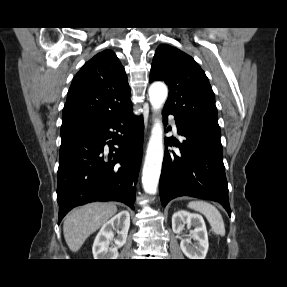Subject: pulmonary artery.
I'll list each match as a JSON object with an SVG mask.
<instances>
[{"instance_id": "e3ab8cb5", "label": "pulmonary artery", "mask_w": 287, "mask_h": 287, "mask_svg": "<svg viewBox=\"0 0 287 287\" xmlns=\"http://www.w3.org/2000/svg\"><path fill=\"white\" fill-rule=\"evenodd\" d=\"M173 128L176 130V125H175V123L173 122Z\"/></svg>"}]
</instances>
